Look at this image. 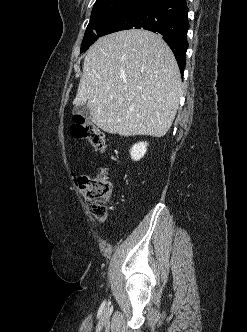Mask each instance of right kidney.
I'll list each match as a JSON object with an SVG mask.
<instances>
[{
    "label": "right kidney",
    "instance_id": "right-kidney-1",
    "mask_svg": "<svg viewBox=\"0 0 247 332\" xmlns=\"http://www.w3.org/2000/svg\"><path fill=\"white\" fill-rule=\"evenodd\" d=\"M147 142H139L134 144L130 150L131 158L134 161H138L145 155L147 151Z\"/></svg>",
    "mask_w": 247,
    "mask_h": 332
}]
</instances>
